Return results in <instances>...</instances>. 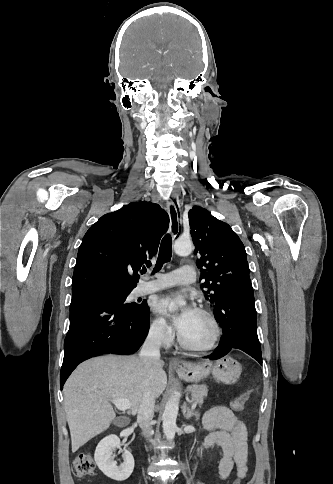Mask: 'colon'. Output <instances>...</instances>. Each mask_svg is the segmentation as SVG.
<instances>
[{
	"instance_id": "1",
	"label": "colon",
	"mask_w": 333,
	"mask_h": 484,
	"mask_svg": "<svg viewBox=\"0 0 333 484\" xmlns=\"http://www.w3.org/2000/svg\"><path fill=\"white\" fill-rule=\"evenodd\" d=\"M252 390L246 391L241 394L229 404L231 410L238 412L243 410L245 403L250 398ZM95 461L92 455L88 453H81L73 460L72 470L75 476L79 478H85L94 475L95 473ZM234 484H239V480H236Z\"/></svg>"
}]
</instances>
